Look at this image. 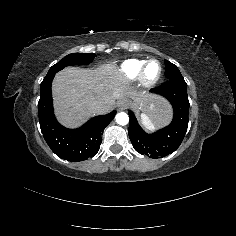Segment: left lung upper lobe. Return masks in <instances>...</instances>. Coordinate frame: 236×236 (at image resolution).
I'll return each instance as SVG.
<instances>
[{
  "instance_id": "5c2ea615",
  "label": "left lung upper lobe",
  "mask_w": 236,
  "mask_h": 236,
  "mask_svg": "<svg viewBox=\"0 0 236 236\" xmlns=\"http://www.w3.org/2000/svg\"><path fill=\"white\" fill-rule=\"evenodd\" d=\"M166 70H165V77L167 80L169 79H183L179 69L176 65L172 64L171 62L164 60Z\"/></svg>"
}]
</instances>
